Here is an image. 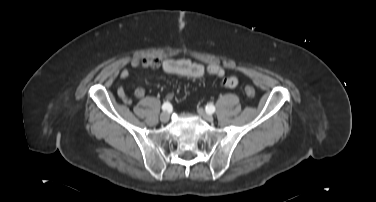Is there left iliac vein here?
Returning <instances> with one entry per match:
<instances>
[{
  "instance_id": "left-iliac-vein-1",
  "label": "left iliac vein",
  "mask_w": 376,
  "mask_h": 202,
  "mask_svg": "<svg viewBox=\"0 0 376 202\" xmlns=\"http://www.w3.org/2000/svg\"><path fill=\"white\" fill-rule=\"evenodd\" d=\"M198 114L206 121L212 122L214 120V117L211 113L206 112L203 108L197 109Z\"/></svg>"
}]
</instances>
